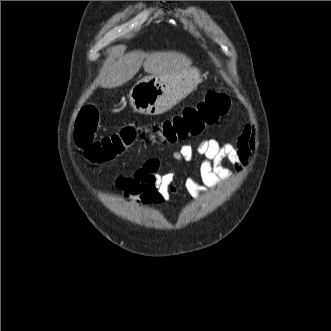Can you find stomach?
Here are the masks:
<instances>
[{
	"label": "stomach",
	"mask_w": 331,
	"mask_h": 331,
	"mask_svg": "<svg viewBox=\"0 0 331 331\" xmlns=\"http://www.w3.org/2000/svg\"><path fill=\"white\" fill-rule=\"evenodd\" d=\"M198 82L199 70L194 67L169 78L143 77L130 89V105L141 114H162L185 98Z\"/></svg>",
	"instance_id": "1"
}]
</instances>
